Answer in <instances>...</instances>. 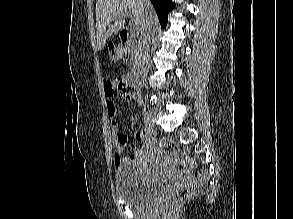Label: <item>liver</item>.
I'll return each instance as SVG.
<instances>
[{"mask_svg": "<svg viewBox=\"0 0 293 219\" xmlns=\"http://www.w3.org/2000/svg\"><path fill=\"white\" fill-rule=\"evenodd\" d=\"M134 17V29L141 32L145 25L146 13L154 19L155 12L151 5L145 7L143 0H97L96 2V40L97 49L102 50L108 37L125 26L122 13ZM109 27V28H108Z\"/></svg>", "mask_w": 293, "mask_h": 219, "instance_id": "6515ba94", "label": "liver"}]
</instances>
